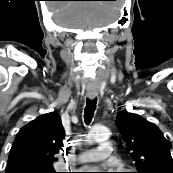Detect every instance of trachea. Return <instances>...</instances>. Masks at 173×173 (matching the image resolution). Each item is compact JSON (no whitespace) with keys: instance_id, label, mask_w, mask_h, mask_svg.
<instances>
[{"instance_id":"trachea-1","label":"trachea","mask_w":173,"mask_h":173,"mask_svg":"<svg viewBox=\"0 0 173 173\" xmlns=\"http://www.w3.org/2000/svg\"><path fill=\"white\" fill-rule=\"evenodd\" d=\"M97 99H87L86 107L84 109V121L86 124H89L93 118L95 108H96Z\"/></svg>"}]
</instances>
